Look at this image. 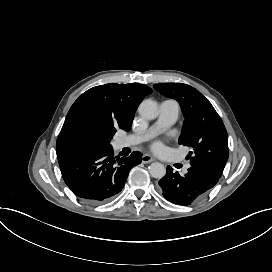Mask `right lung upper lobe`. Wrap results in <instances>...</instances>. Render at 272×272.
Here are the masks:
<instances>
[{
    "label": "right lung upper lobe",
    "mask_w": 272,
    "mask_h": 272,
    "mask_svg": "<svg viewBox=\"0 0 272 272\" xmlns=\"http://www.w3.org/2000/svg\"><path fill=\"white\" fill-rule=\"evenodd\" d=\"M151 93L150 87L138 83H110L84 92L71 106L58 136V159L108 148L117 129L130 130L138 105Z\"/></svg>",
    "instance_id": "right-lung-upper-lobe-1"
}]
</instances>
